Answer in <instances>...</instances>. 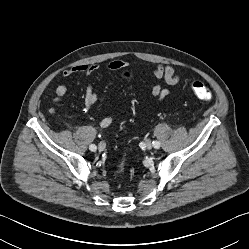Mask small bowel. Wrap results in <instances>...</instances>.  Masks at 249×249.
Instances as JSON below:
<instances>
[{
	"label": "small bowel",
	"mask_w": 249,
	"mask_h": 249,
	"mask_svg": "<svg viewBox=\"0 0 249 249\" xmlns=\"http://www.w3.org/2000/svg\"><path fill=\"white\" fill-rule=\"evenodd\" d=\"M128 65L125 61H112L107 65L109 70H119ZM100 66L97 63L80 64L72 68L65 69L63 71L64 77H71L75 74H84L87 77L91 76ZM154 78L158 80H164L169 86H175L182 80V75L175 70L170 64L157 63L151 70ZM68 92V86L66 84H60L56 88V94L58 97H64ZM152 97L156 102H162L172 95V90L164 88L158 83H154L151 87ZM98 103V96L95 91V85L93 82H89L85 89L84 105L87 110H90ZM115 116H105L98 120V125L101 128L109 127L115 120Z\"/></svg>",
	"instance_id": "c3829d8e"
}]
</instances>
